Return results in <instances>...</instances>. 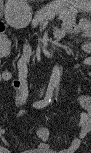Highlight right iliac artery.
<instances>
[{
    "label": "right iliac artery",
    "instance_id": "1",
    "mask_svg": "<svg viewBox=\"0 0 91 153\" xmlns=\"http://www.w3.org/2000/svg\"><path fill=\"white\" fill-rule=\"evenodd\" d=\"M53 90H54L53 86L51 85L48 86L45 97L42 100L35 102L33 104V107L37 109L46 107L52 100Z\"/></svg>",
    "mask_w": 91,
    "mask_h": 153
}]
</instances>
